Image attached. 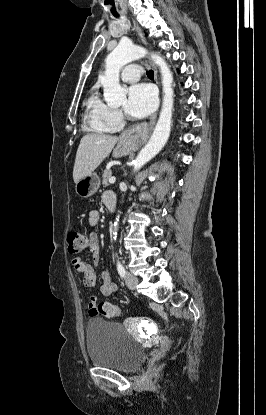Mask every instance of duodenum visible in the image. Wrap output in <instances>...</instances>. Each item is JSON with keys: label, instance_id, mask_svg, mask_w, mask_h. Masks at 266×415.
<instances>
[{"label": "duodenum", "instance_id": "duodenum-1", "mask_svg": "<svg viewBox=\"0 0 266 415\" xmlns=\"http://www.w3.org/2000/svg\"><path fill=\"white\" fill-rule=\"evenodd\" d=\"M107 208L109 209V211H113L114 208H115V204L109 203V204H107Z\"/></svg>", "mask_w": 266, "mask_h": 415}]
</instances>
